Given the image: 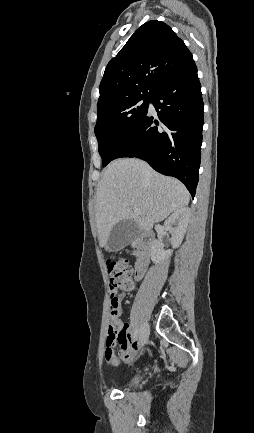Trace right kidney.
I'll return each mask as SVG.
<instances>
[{"instance_id":"right-kidney-1","label":"right kidney","mask_w":254,"mask_h":433,"mask_svg":"<svg viewBox=\"0 0 254 433\" xmlns=\"http://www.w3.org/2000/svg\"><path fill=\"white\" fill-rule=\"evenodd\" d=\"M190 218V210L188 208H182L175 211L171 216L164 222V227L168 230L171 237L172 248L175 249L181 244ZM173 250H164L163 245L159 240H155L151 248V259L154 263H160L167 259Z\"/></svg>"}]
</instances>
